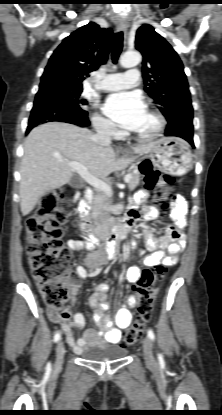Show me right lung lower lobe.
Wrapping results in <instances>:
<instances>
[{
  "mask_svg": "<svg viewBox=\"0 0 222 415\" xmlns=\"http://www.w3.org/2000/svg\"><path fill=\"white\" fill-rule=\"evenodd\" d=\"M60 82L46 80L40 84L26 133L40 123L61 121L87 127V112L63 91Z\"/></svg>",
  "mask_w": 222,
  "mask_h": 415,
  "instance_id": "1",
  "label": "right lung lower lobe"
}]
</instances>
